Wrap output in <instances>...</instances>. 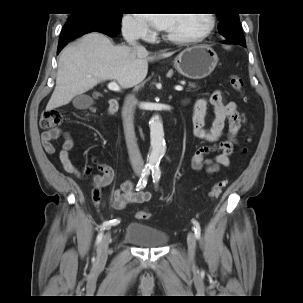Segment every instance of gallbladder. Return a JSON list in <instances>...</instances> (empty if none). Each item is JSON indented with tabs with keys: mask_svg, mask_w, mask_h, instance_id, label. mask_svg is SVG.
Instances as JSON below:
<instances>
[{
	"mask_svg": "<svg viewBox=\"0 0 303 303\" xmlns=\"http://www.w3.org/2000/svg\"><path fill=\"white\" fill-rule=\"evenodd\" d=\"M92 104V98L86 94H80L73 98V106L76 109L84 110Z\"/></svg>",
	"mask_w": 303,
	"mask_h": 303,
	"instance_id": "bac80fb5",
	"label": "gallbladder"
}]
</instances>
